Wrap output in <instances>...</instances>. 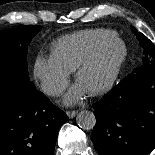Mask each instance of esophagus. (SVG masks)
<instances>
[{"instance_id":"esophagus-1","label":"esophagus","mask_w":155,"mask_h":155,"mask_svg":"<svg viewBox=\"0 0 155 155\" xmlns=\"http://www.w3.org/2000/svg\"><path fill=\"white\" fill-rule=\"evenodd\" d=\"M66 114L71 119V118L75 117L77 112L76 111H67Z\"/></svg>"}]
</instances>
